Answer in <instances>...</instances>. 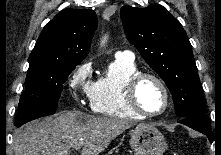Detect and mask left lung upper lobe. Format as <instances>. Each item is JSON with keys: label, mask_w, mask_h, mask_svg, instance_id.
Listing matches in <instances>:
<instances>
[{"label": "left lung upper lobe", "mask_w": 221, "mask_h": 155, "mask_svg": "<svg viewBox=\"0 0 221 155\" xmlns=\"http://www.w3.org/2000/svg\"><path fill=\"white\" fill-rule=\"evenodd\" d=\"M120 15L128 40L172 93L176 114L206 119L192 47L180 22L158 4L123 6Z\"/></svg>", "instance_id": "obj_1"}]
</instances>
